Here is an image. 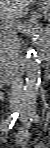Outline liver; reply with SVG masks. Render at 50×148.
Instances as JSON below:
<instances>
[{
	"mask_svg": "<svg viewBox=\"0 0 50 148\" xmlns=\"http://www.w3.org/2000/svg\"><path fill=\"white\" fill-rule=\"evenodd\" d=\"M33 0H1L0 12L1 18L5 20H14L25 15L27 7Z\"/></svg>",
	"mask_w": 50,
	"mask_h": 148,
	"instance_id": "liver-1",
	"label": "liver"
}]
</instances>
